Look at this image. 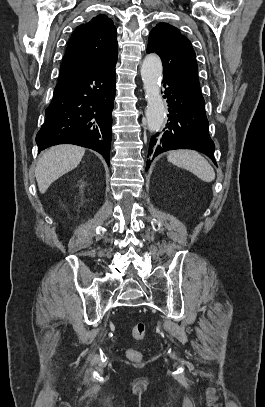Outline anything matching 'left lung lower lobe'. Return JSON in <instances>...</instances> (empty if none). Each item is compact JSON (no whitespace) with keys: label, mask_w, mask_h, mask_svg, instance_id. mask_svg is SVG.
<instances>
[{"label":"left lung lower lobe","mask_w":265,"mask_h":407,"mask_svg":"<svg viewBox=\"0 0 265 407\" xmlns=\"http://www.w3.org/2000/svg\"><path fill=\"white\" fill-rule=\"evenodd\" d=\"M163 87L169 106V123L164 133H157L151 140L146 170L151 158L168 150L182 148L203 152L216 164L215 145L208 132L204 99L169 77H164Z\"/></svg>","instance_id":"1"}]
</instances>
